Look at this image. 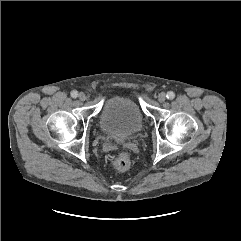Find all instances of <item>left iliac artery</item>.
I'll list each match as a JSON object with an SVG mask.
<instances>
[{
  "label": "left iliac artery",
  "mask_w": 241,
  "mask_h": 241,
  "mask_svg": "<svg viewBox=\"0 0 241 241\" xmlns=\"http://www.w3.org/2000/svg\"><path fill=\"white\" fill-rule=\"evenodd\" d=\"M167 99L172 100L175 98V93L173 91H169L166 94Z\"/></svg>",
  "instance_id": "left-iliac-artery-1"
}]
</instances>
